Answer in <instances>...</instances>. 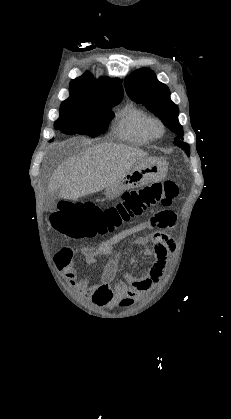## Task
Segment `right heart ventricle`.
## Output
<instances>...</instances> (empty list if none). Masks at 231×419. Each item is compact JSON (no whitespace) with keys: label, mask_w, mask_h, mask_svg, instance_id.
I'll list each match as a JSON object with an SVG mask.
<instances>
[{"label":"right heart ventricle","mask_w":231,"mask_h":419,"mask_svg":"<svg viewBox=\"0 0 231 419\" xmlns=\"http://www.w3.org/2000/svg\"><path fill=\"white\" fill-rule=\"evenodd\" d=\"M148 113L134 106H126L117 115L114 127L115 135L136 144H145L152 140L147 129Z\"/></svg>","instance_id":"obj_1"}]
</instances>
